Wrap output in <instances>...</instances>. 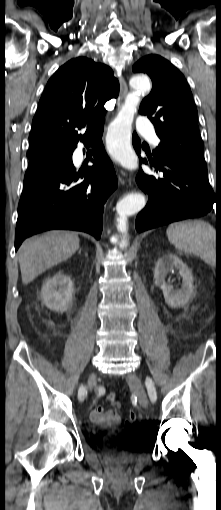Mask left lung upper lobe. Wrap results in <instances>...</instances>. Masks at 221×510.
I'll return each instance as SVG.
<instances>
[{"mask_svg": "<svg viewBox=\"0 0 221 510\" xmlns=\"http://www.w3.org/2000/svg\"><path fill=\"white\" fill-rule=\"evenodd\" d=\"M133 71L152 79L151 93L143 99L139 113L149 117L161 139L153 150L155 161L177 162L207 173L197 109L183 74L155 54L141 58Z\"/></svg>", "mask_w": 221, "mask_h": 510, "instance_id": "left-lung-upper-lobe-1", "label": "left lung upper lobe"}]
</instances>
